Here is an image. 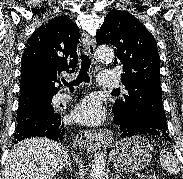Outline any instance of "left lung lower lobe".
<instances>
[{
    "label": "left lung lower lobe",
    "mask_w": 183,
    "mask_h": 179,
    "mask_svg": "<svg viewBox=\"0 0 183 179\" xmlns=\"http://www.w3.org/2000/svg\"><path fill=\"white\" fill-rule=\"evenodd\" d=\"M114 121L115 124L118 125L121 138H126L133 135L147 134V135L159 136L171 142L167 130L157 129L152 126L146 125L140 121L134 120L126 116H121L118 114H115Z\"/></svg>",
    "instance_id": "obj_1"
}]
</instances>
